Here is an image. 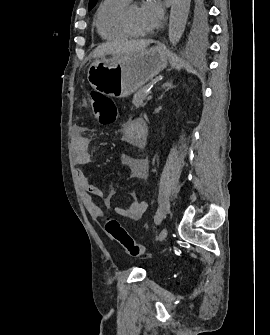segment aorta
Here are the masks:
<instances>
[{
	"label": "aorta",
	"mask_w": 270,
	"mask_h": 335,
	"mask_svg": "<svg viewBox=\"0 0 270 335\" xmlns=\"http://www.w3.org/2000/svg\"><path fill=\"white\" fill-rule=\"evenodd\" d=\"M191 0H173L169 18V40L173 46L179 42L186 26Z\"/></svg>",
	"instance_id": "aorta-1"
}]
</instances>
